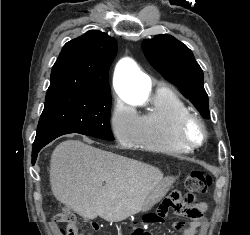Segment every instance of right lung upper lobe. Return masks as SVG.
<instances>
[{
	"label": "right lung upper lobe",
	"mask_w": 250,
	"mask_h": 235,
	"mask_svg": "<svg viewBox=\"0 0 250 235\" xmlns=\"http://www.w3.org/2000/svg\"><path fill=\"white\" fill-rule=\"evenodd\" d=\"M116 52V40L98 30L67 42L52 68L46 97L110 91L108 71Z\"/></svg>",
	"instance_id": "right-lung-upper-lobe-1"
}]
</instances>
